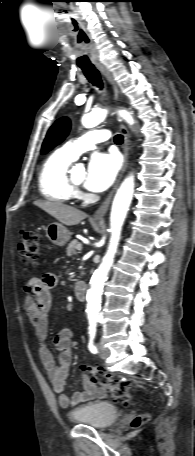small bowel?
Masks as SVG:
<instances>
[{"label":"small bowel","mask_w":195,"mask_h":456,"mask_svg":"<svg viewBox=\"0 0 195 456\" xmlns=\"http://www.w3.org/2000/svg\"><path fill=\"white\" fill-rule=\"evenodd\" d=\"M58 283V276L54 273H46L41 278L33 277L28 280L24 290L25 312L33 324L36 335L40 342V359L45 368L57 400L61 407L68 408L78 404L102 398L106 395L103 388L98 387L91 378L83 374V390L76 391L71 396L65 393V383L72 361L73 331L68 328L60 330L51 343H48V317L52 307V295L50 290ZM52 348L58 354L57 363L52 354Z\"/></svg>","instance_id":"obj_1"}]
</instances>
